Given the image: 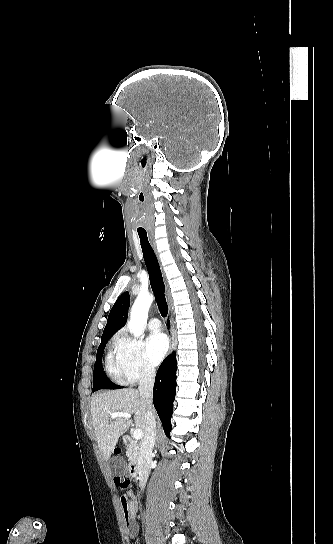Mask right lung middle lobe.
Returning a JSON list of instances; mask_svg holds the SVG:
<instances>
[{
	"label": "right lung middle lobe",
	"mask_w": 333,
	"mask_h": 544,
	"mask_svg": "<svg viewBox=\"0 0 333 544\" xmlns=\"http://www.w3.org/2000/svg\"><path fill=\"white\" fill-rule=\"evenodd\" d=\"M109 338H106V339H102L101 340V343L98 347V350H97V355H96V362H95V367H94V374H93V389H92V392H95L97 390H100V389H119V388H123L119 385H116L114 384L113 382H111L108 377L105 375V372L103 371V367H102V355H103V351H104V348L106 346V343L108 341Z\"/></svg>",
	"instance_id": "right-lung-middle-lobe-1"
}]
</instances>
